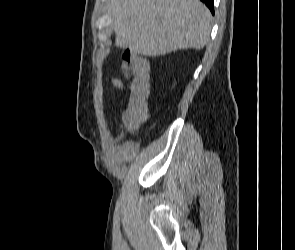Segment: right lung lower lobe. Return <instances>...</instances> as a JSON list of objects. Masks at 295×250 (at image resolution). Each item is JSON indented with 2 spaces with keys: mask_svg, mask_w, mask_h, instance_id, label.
Listing matches in <instances>:
<instances>
[{
  "mask_svg": "<svg viewBox=\"0 0 295 250\" xmlns=\"http://www.w3.org/2000/svg\"><path fill=\"white\" fill-rule=\"evenodd\" d=\"M202 2H204L208 8L211 10V12L214 14V6H213V1L214 0H201Z\"/></svg>",
  "mask_w": 295,
  "mask_h": 250,
  "instance_id": "98d812e1",
  "label": "right lung lower lobe"
}]
</instances>
